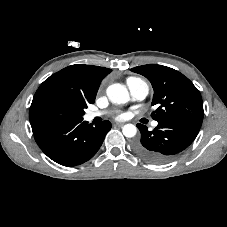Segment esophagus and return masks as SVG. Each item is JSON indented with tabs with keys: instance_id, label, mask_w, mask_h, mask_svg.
Instances as JSON below:
<instances>
[{
	"instance_id": "1",
	"label": "esophagus",
	"mask_w": 227,
	"mask_h": 227,
	"mask_svg": "<svg viewBox=\"0 0 227 227\" xmlns=\"http://www.w3.org/2000/svg\"><path fill=\"white\" fill-rule=\"evenodd\" d=\"M115 125L121 127L124 125V123H116Z\"/></svg>"
}]
</instances>
